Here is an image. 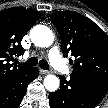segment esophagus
<instances>
[{
    "label": "esophagus",
    "instance_id": "34e87169",
    "mask_svg": "<svg viewBox=\"0 0 108 108\" xmlns=\"http://www.w3.org/2000/svg\"><path fill=\"white\" fill-rule=\"evenodd\" d=\"M40 72H41L42 74H49V73H51V71L44 70V69H40Z\"/></svg>",
    "mask_w": 108,
    "mask_h": 108
}]
</instances>
